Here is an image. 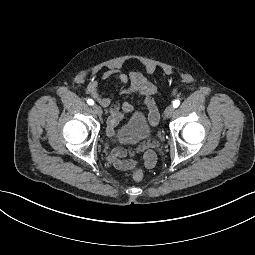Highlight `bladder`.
<instances>
[{
  "mask_svg": "<svg viewBox=\"0 0 255 255\" xmlns=\"http://www.w3.org/2000/svg\"><path fill=\"white\" fill-rule=\"evenodd\" d=\"M153 134V128L148 117L141 111L134 112L129 119L120 126L115 133V139L119 142L131 140H147Z\"/></svg>",
  "mask_w": 255,
  "mask_h": 255,
  "instance_id": "bladder-1",
  "label": "bladder"
}]
</instances>
